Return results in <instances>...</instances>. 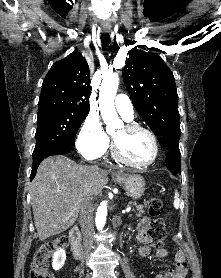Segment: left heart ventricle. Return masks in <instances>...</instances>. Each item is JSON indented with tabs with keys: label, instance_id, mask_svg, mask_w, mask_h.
<instances>
[{
	"label": "left heart ventricle",
	"instance_id": "left-heart-ventricle-1",
	"mask_svg": "<svg viewBox=\"0 0 221 278\" xmlns=\"http://www.w3.org/2000/svg\"><path fill=\"white\" fill-rule=\"evenodd\" d=\"M113 138L122 155L129 161L144 164L152 159L154 153L153 144L145 132H129L123 127L113 134Z\"/></svg>",
	"mask_w": 221,
	"mask_h": 278
}]
</instances>
